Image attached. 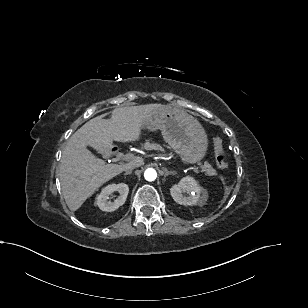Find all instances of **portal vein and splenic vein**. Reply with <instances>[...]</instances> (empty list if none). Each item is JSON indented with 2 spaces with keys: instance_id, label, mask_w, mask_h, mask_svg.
I'll return each mask as SVG.
<instances>
[{
  "instance_id": "1",
  "label": "portal vein and splenic vein",
  "mask_w": 308,
  "mask_h": 308,
  "mask_svg": "<svg viewBox=\"0 0 308 308\" xmlns=\"http://www.w3.org/2000/svg\"><path fill=\"white\" fill-rule=\"evenodd\" d=\"M137 158H138V157L133 156L132 154H127V155H123V156H122V159H123V160H132V161H135ZM192 169H193L196 173L199 172L198 167H196V166L192 167Z\"/></svg>"
}]
</instances>
